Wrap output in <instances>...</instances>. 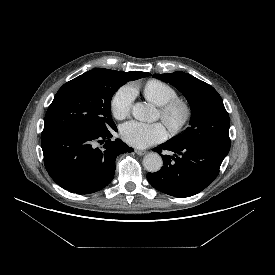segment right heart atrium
Here are the masks:
<instances>
[{"instance_id":"obj_1","label":"right heart atrium","mask_w":275,"mask_h":275,"mask_svg":"<svg viewBox=\"0 0 275 275\" xmlns=\"http://www.w3.org/2000/svg\"><path fill=\"white\" fill-rule=\"evenodd\" d=\"M135 99V88L131 84L119 87L111 97L110 109L112 115L118 119H125L131 112Z\"/></svg>"}]
</instances>
